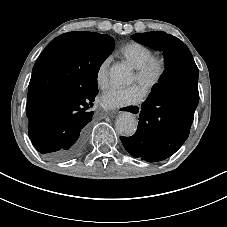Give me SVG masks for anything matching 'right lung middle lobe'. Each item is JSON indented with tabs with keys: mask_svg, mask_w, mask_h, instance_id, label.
Wrapping results in <instances>:
<instances>
[{
	"mask_svg": "<svg viewBox=\"0 0 227 227\" xmlns=\"http://www.w3.org/2000/svg\"><path fill=\"white\" fill-rule=\"evenodd\" d=\"M114 39L106 34L89 37L68 36L56 43V52L64 61L75 66L81 73L82 82L76 95L97 93V74L100 66L111 54Z\"/></svg>",
	"mask_w": 227,
	"mask_h": 227,
	"instance_id": "obj_1",
	"label": "right lung middle lobe"
}]
</instances>
